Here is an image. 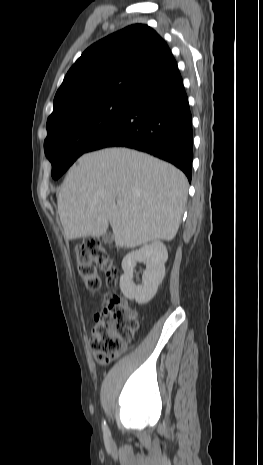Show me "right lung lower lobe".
Wrapping results in <instances>:
<instances>
[{
	"label": "right lung lower lobe",
	"mask_w": 263,
	"mask_h": 465,
	"mask_svg": "<svg viewBox=\"0 0 263 465\" xmlns=\"http://www.w3.org/2000/svg\"><path fill=\"white\" fill-rule=\"evenodd\" d=\"M191 119L183 81L176 69L139 90L126 114L89 151L112 146L134 148L171 162L191 181Z\"/></svg>",
	"instance_id": "1"
}]
</instances>
